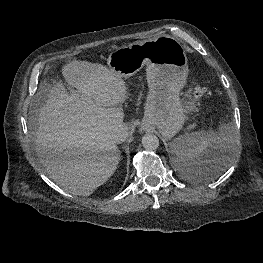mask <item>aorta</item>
Wrapping results in <instances>:
<instances>
[{
    "instance_id": "obj_1",
    "label": "aorta",
    "mask_w": 263,
    "mask_h": 263,
    "mask_svg": "<svg viewBox=\"0 0 263 263\" xmlns=\"http://www.w3.org/2000/svg\"><path fill=\"white\" fill-rule=\"evenodd\" d=\"M142 145L147 150H156L159 147V139L156 135L147 133L142 137Z\"/></svg>"
}]
</instances>
